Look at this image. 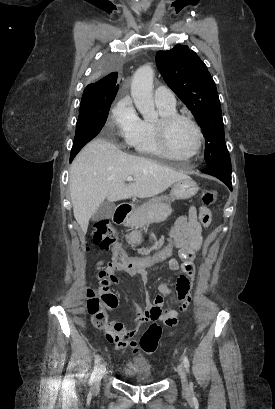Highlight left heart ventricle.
<instances>
[{
    "label": "left heart ventricle",
    "instance_id": "left-heart-ventricle-1",
    "mask_svg": "<svg viewBox=\"0 0 275 409\" xmlns=\"http://www.w3.org/2000/svg\"><path fill=\"white\" fill-rule=\"evenodd\" d=\"M171 146L179 156L190 155L196 145V137L193 128L184 121L176 123L171 131Z\"/></svg>",
    "mask_w": 275,
    "mask_h": 409
}]
</instances>
